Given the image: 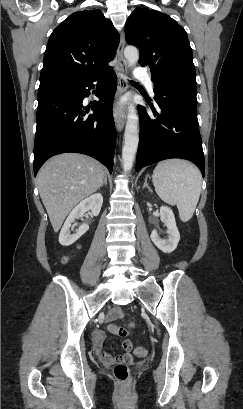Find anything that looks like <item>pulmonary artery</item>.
<instances>
[{"label":"pulmonary artery","instance_id":"e3ab8cb5","mask_svg":"<svg viewBox=\"0 0 243 409\" xmlns=\"http://www.w3.org/2000/svg\"><path fill=\"white\" fill-rule=\"evenodd\" d=\"M134 76L136 79L143 81L146 84L148 91L153 94V83L150 75L147 72L137 69L134 73Z\"/></svg>","mask_w":243,"mask_h":409}]
</instances>
